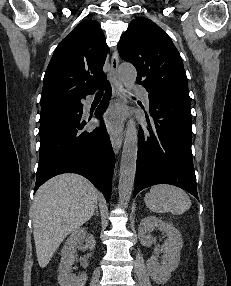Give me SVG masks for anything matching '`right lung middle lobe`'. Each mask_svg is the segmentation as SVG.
Returning <instances> with one entry per match:
<instances>
[{
    "label": "right lung middle lobe",
    "mask_w": 231,
    "mask_h": 286,
    "mask_svg": "<svg viewBox=\"0 0 231 286\" xmlns=\"http://www.w3.org/2000/svg\"><path fill=\"white\" fill-rule=\"evenodd\" d=\"M73 106H74L73 104L67 103L62 105L41 108L40 124L74 113Z\"/></svg>",
    "instance_id": "dd1d6c3e"
}]
</instances>
